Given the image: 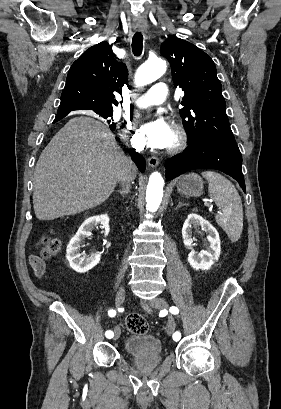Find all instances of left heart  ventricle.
Returning a JSON list of instances; mask_svg holds the SVG:
<instances>
[{"label":"left heart ventricle","mask_w":281,"mask_h":409,"mask_svg":"<svg viewBox=\"0 0 281 409\" xmlns=\"http://www.w3.org/2000/svg\"><path fill=\"white\" fill-rule=\"evenodd\" d=\"M173 140H174V136H173V133H171V138H170L168 146H170L172 144Z\"/></svg>","instance_id":"obj_1"}]
</instances>
